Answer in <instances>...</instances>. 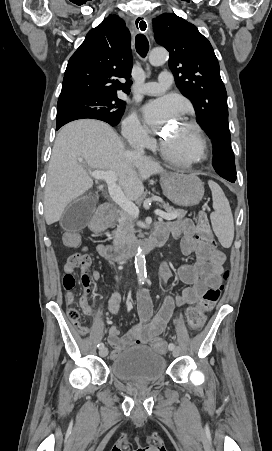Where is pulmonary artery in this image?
Instances as JSON below:
<instances>
[{
    "label": "pulmonary artery",
    "instance_id": "pulmonary-artery-1",
    "mask_svg": "<svg viewBox=\"0 0 272 451\" xmlns=\"http://www.w3.org/2000/svg\"><path fill=\"white\" fill-rule=\"evenodd\" d=\"M172 71L169 68H163L158 77V82L146 83L140 87L137 92L144 95H159L165 92L173 83Z\"/></svg>",
    "mask_w": 272,
    "mask_h": 451
}]
</instances>
